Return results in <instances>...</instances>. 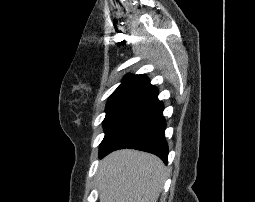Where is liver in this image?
Masks as SVG:
<instances>
[{
  "label": "liver",
  "mask_w": 255,
  "mask_h": 202,
  "mask_svg": "<svg viewBox=\"0 0 255 202\" xmlns=\"http://www.w3.org/2000/svg\"><path fill=\"white\" fill-rule=\"evenodd\" d=\"M166 176L155 155L124 149L106 156L98 168L100 202H157Z\"/></svg>",
  "instance_id": "obj_1"
}]
</instances>
